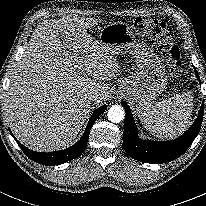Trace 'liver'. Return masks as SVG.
<instances>
[{"mask_svg": "<svg viewBox=\"0 0 206 206\" xmlns=\"http://www.w3.org/2000/svg\"><path fill=\"white\" fill-rule=\"evenodd\" d=\"M93 18L45 20L32 33L5 95L9 125L27 148L39 152L67 147L78 136L91 107L89 94L109 96L105 83L120 65L87 29Z\"/></svg>", "mask_w": 206, "mask_h": 206, "instance_id": "1", "label": "liver"}]
</instances>
